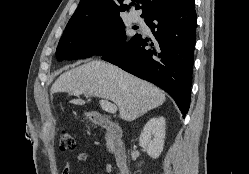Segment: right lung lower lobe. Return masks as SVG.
<instances>
[{
    "label": "right lung lower lobe",
    "mask_w": 249,
    "mask_h": 174,
    "mask_svg": "<svg viewBox=\"0 0 249 174\" xmlns=\"http://www.w3.org/2000/svg\"><path fill=\"white\" fill-rule=\"evenodd\" d=\"M153 41L140 35L130 46L103 59L168 92L183 117L190 106L197 16L194 0L146 18ZM150 49H145L146 46Z\"/></svg>",
    "instance_id": "1"
}]
</instances>
